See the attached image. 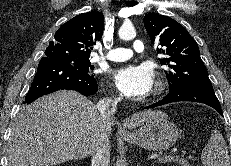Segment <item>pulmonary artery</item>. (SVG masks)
<instances>
[{
	"mask_svg": "<svg viewBox=\"0 0 231 166\" xmlns=\"http://www.w3.org/2000/svg\"><path fill=\"white\" fill-rule=\"evenodd\" d=\"M145 50L144 44L141 40H135L131 48L118 47L110 50L104 59L111 61H125L132 57L134 52L141 53Z\"/></svg>",
	"mask_w": 231,
	"mask_h": 166,
	"instance_id": "obj_1",
	"label": "pulmonary artery"
}]
</instances>
